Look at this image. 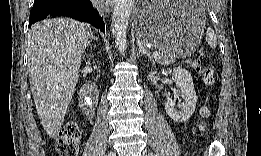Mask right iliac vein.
<instances>
[{
	"label": "right iliac vein",
	"mask_w": 261,
	"mask_h": 156,
	"mask_svg": "<svg viewBox=\"0 0 261 156\" xmlns=\"http://www.w3.org/2000/svg\"><path fill=\"white\" fill-rule=\"evenodd\" d=\"M108 156H115V153H114L113 151H110V152L108 153Z\"/></svg>",
	"instance_id": "right-iliac-vein-1"
}]
</instances>
